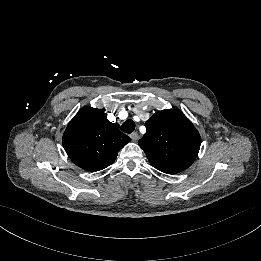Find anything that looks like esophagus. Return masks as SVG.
Instances as JSON below:
<instances>
[{"mask_svg":"<svg viewBox=\"0 0 261 261\" xmlns=\"http://www.w3.org/2000/svg\"><path fill=\"white\" fill-rule=\"evenodd\" d=\"M130 138L133 141H137L139 139V134L137 132H133V133L130 134Z\"/></svg>","mask_w":261,"mask_h":261,"instance_id":"obj_1","label":"esophagus"}]
</instances>
